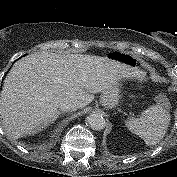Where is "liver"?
<instances>
[{
  "mask_svg": "<svg viewBox=\"0 0 177 177\" xmlns=\"http://www.w3.org/2000/svg\"><path fill=\"white\" fill-rule=\"evenodd\" d=\"M144 72L115 59L91 55L32 53L14 63L0 94V118L7 134L18 139L55 121L60 104L84 108L125 78Z\"/></svg>",
  "mask_w": 177,
  "mask_h": 177,
  "instance_id": "obj_1",
  "label": "liver"
}]
</instances>
